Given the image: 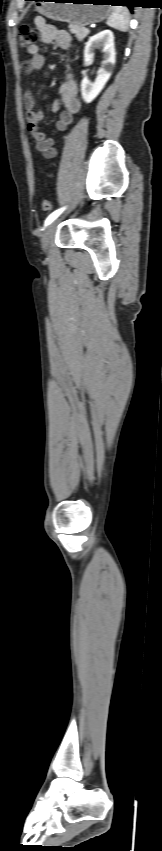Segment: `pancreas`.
<instances>
[{
	"label": "pancreas",
	"mask_w": 162,
	"mask_h": 851,
	"mask_svg": "<svg viewBox=\"0 0 162 851\" xmlns=\"http://www.w3.org/2000/svg\"><path fill=\"white\" fill-rule=\"evenodd\" d=\"M69 29L79 41H82L89 34V31H85V27L77 26L72 23L69 24Z\"/></svg>",
	"instance_id": "pancreas-1"
}]
</instances>
